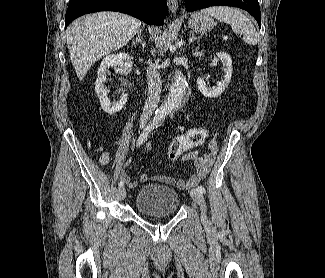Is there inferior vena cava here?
<instances>
[{
  "mask_svg": "<svg viewBox=\"0 0 325 278\" xmlns=\"http://www.w3.org/2000/svg\"><path fill=\"white\" fill-rule=\"evenodd\" d=\"M148 97L145 101L140 122L146 123L152 116L160 100L162 82L160 74L154 65L147 68Z\"/></svg>",
  "mask_w": 325,
  "mask_h": 278,
  "instance_id": "1",
  "label": "inferior vena cava"
}]
</instances>
